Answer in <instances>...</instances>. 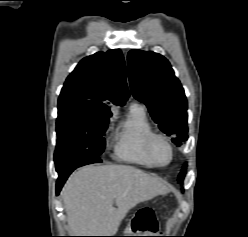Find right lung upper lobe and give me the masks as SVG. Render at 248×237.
I'll return each mask as SVG.
<instances>
[{"label":"right lung upper lobe","mask_w":248,"mask_h":237,"mask_svg":"<svg viewBox=\"0 0 248 237\" xmlns=\"http://www.w3.org/2000/svg\"><path fill=\"white\" fill-rule=\"evenodd\" d=\"M128 97L124 58L116 49L82 59L66 79L58 104H73L96 114L111 115L106 102L123 105Z\"/></svg>","instance_id":"obj_1"}]
</instances>
